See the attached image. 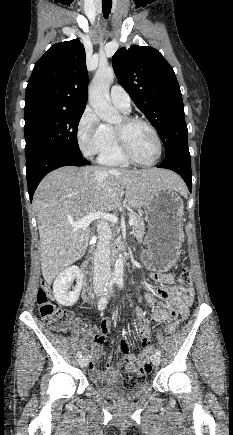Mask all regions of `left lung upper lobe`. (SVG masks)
Returning <instances> with one entry per match:
<instances>
[{"mask_svg": "<svg viewBox=\"0 0 233 435\" xmlns=\"http://www.w3.org/2000/svg\"><path fill=\"white\" fill-rule=\"evenodd\" d=\"M112 65L120 84L156 128L166 155L188 145L180 87L162 54L150 46L132 45L119 49Z\"/></svg>", "mask_w": 233, "mask_h": 435, "instance_id": "obj_1", "label": "left lung upper lobe"}]
</instances>
